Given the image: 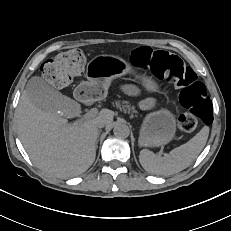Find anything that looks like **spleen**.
Segmentation results:
<instances>
[{
	"mask_svg": "<svg viewBox=\"0 0 231 231\" xmlns=\"http://www.w3.org/2000/svg\"><path fill=\"white\" fill-rule=\"evenodd\" d=\"M209 135V128L203 127L187 143L173 149L161 157L143 149L139 154L142 167L150 174L169 176L187 168L203 150Z\"/></svg>",
	"mask_w": 231,
	"mask_h": 231,
	"instance_id": "spleen-1",
	"label": "spleen"
}]
</instances>
